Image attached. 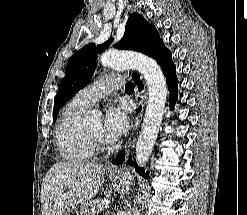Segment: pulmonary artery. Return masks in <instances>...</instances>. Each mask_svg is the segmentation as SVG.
<instances>
[{"instance_id":"pulmonary-artery-1","label":"pulmonary artery","mask_w":247,"mask_h":215,"mask_svg":"<svg viewBox=\"0 0 247 215\" xmlns=\"http://www.w3.org/2000/svg\"><path fill=\"white\" fill-rule=\"evenodd\" d=\"M124 79L121 76H103L81 89L74 97V101L84 108L91 107L95 102L106 97L114 90L121 88Z\"/></svg>"}]
</instances>
